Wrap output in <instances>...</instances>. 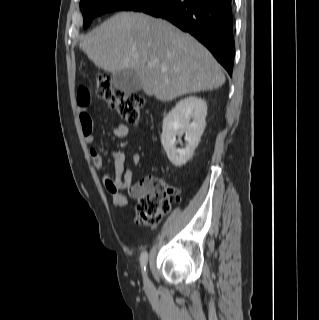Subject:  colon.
I'll return each mask as SVG.
<instances>
[{
  "label": "colon",
  "instance_id": "colon-1",
  "mask_svg": "<svg viewBox=\"0 0 319 320\" xmlns=\"http://www.w3.org/2000/svg\"><path fill=\"white\" fill-rule=\"evenodd\" d=\"M96 95L116 110L126 123L136 125L140 122L145 102L141 95L114 89L110 77L106 75L97 77ZM137 197V221L144 225H156L170 210L172 203L179 199V194L159 177L148 176L137 184Z\"/></svg>",
  "mask_w": 319,
  "mask_h": 320
}]
</instances>
